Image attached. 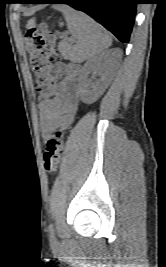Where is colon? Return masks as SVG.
I'll list each match as a JSON object with an SVG mask.
<instances>
[{"mask_svg":"<svg viewBox=\"0 0 166 267\" xmlns=\"http://www.w3.org/2000/svg\"><path fill=\"white\" fill-rule=\"evenodd\" d=\"M60 33L51 30L44 22L30 27L25 35V46L29 55L32 70L37 76L36 90L42 101L53 98L57 74L52 72L51 64L57 59L55 49ZM64 152V133L58 130L47 142L43 155L44 169L47 173H54Z\"/></svg>","mask_w":166,"mask_h":267,"instance_id":"colon-1","label":"colon"}]
</instances>
